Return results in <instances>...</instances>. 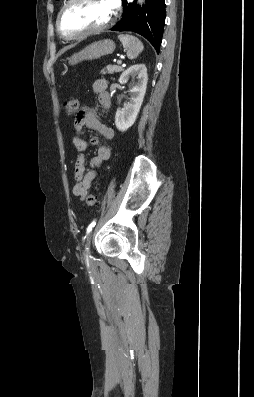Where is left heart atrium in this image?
I'll use <instances>...</instances> for the list:
<instances>
[{"mask_svg": "<svg viewBox=\"0 0 254 397\" xmlns=\"http://www.w3.org/2000/svg\"><path fill=\"white\" fill-rule=\"evenodd\" d=\"M108 2L112 9L116 8L118 5V0H108Z\"/></svg>", "mask_w": 254, "mask_h": 397, "instance_id": "obj_1", "label": "left heart atrium"}]
</instances>
